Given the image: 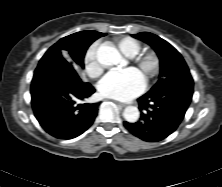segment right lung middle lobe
Here are the masks:
<instances>
[{"label":"right lung middle lobe","mask_w":222,"mask_h":187,"mask_svg":"<svg viewBox=\"0 0 222 187\" xmlns=\"http://www.w3.org/2000/svg\"><path fill=\"white\" fill-rule=\"evenodd\" d=\"M96 38L88 37L78 32L72 35L59 43L56 47H51L45 55L50 57L54 56H65L66 61L72 67H81L84 68V56L86 50L91 45ZM60 41V40H59ZM58 41V42H59Z\"/></svg>","instance_id":"right-lung-middle-lobe-1"}]
</instances>
